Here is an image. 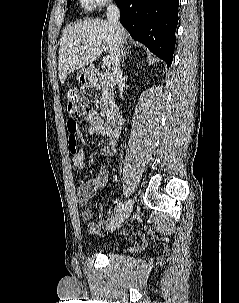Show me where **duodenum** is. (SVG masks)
Segmentation results:
<instances>
[{
  "instance_id": "410a0bca",
  "label": "duodenum",
  "mask_w": 239,
  "mask_h": 303,
  "mask_svg": "<svg viewBox=\"0 0 239 303\" xmlns=\"http://www.w3.org/2000/svg\"><path fill=\"white\" fill-rule=\"evenodd\" d=\"M91 77L97 80L103 79L107 83H112L116 80L113 73H106L104 75L96 73ZM104 126L109 136L113 138L117 137L121 133L122 129V118L120 114L117 111H111L106 117Z\"/></svg>"
}]
</instances>
